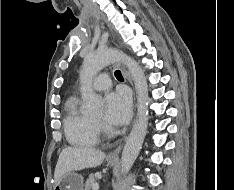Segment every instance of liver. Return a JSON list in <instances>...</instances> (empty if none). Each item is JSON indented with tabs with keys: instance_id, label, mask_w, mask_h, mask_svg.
<instances>
[{
	"instance_id": "liver-1",
	"label": "liver",
	"mask_w": 234,
	"mask_h": 190,
	"mask_svg": "<svg viewBox=\"0 0 234 190\" xmlns=\"http://www.w3.org/2000/svg\"><path fill=\"white\" fill-rule=\"evenodd\" d=\"M105 156L104 152L94 148L66 147L61 151L56 164L55 183L66 173L101 165Z\"/></svg>"
}]
</instances>
